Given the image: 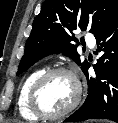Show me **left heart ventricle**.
<instances>
[{
    "mask_svg": "<svg viewBox=\"0 0 118 123\" xmlns=\"http://www.w3.org/2000/svg\"><path fill=\"white\" fill-rule=\"evenodd\" d=\"M75 84L66 74L51 76L42 86L39 94L41 107L50 113L64 110L73 101Z\"/></svg>",
    "mask_w": 118,
    "mask_h": 123,
    "instance_id": "1",
    "label": "left heart ventricle"
}]
</instances>
